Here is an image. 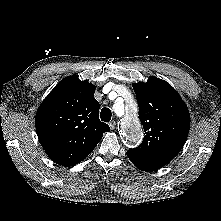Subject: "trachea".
<instances>
[{"mask_svg": "<svg viewBox=\"0 0 221 221\" xmlns=\"http://www.w3.org/2000/svg\"><path fill=\"white\" fill-rule=\"evenodd\" d=\"M101 120L104 122H109L112 117L111 110L109 108H103L100 113Z\"/></svg>", "mask_w": 221, "mask_h": 221, "instance_id": "trachea-1", "label": "trachea"}]
</instances>
